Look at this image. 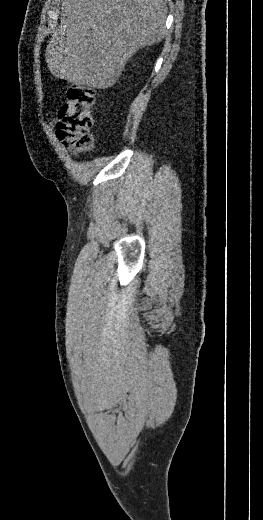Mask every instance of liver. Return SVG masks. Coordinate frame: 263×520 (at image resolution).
Wrapping results in <instances>:
<instances>
[{
	"label": "liver",
	"mask_w": 263,
	"mask_h": 520,
	"mask_svg": "<svg viewBox=\"0 0 263 520\" xmlns=\"http://www.w3.org/2000/svg\"><path fill=\"white\" fill-rule=\"evenodd\" d=\"M61 9L46 62L77 87H112L134 53L166 35L164 0H62Z\"/></svg>",
	"instance_id": "1"
}]
</instances>
